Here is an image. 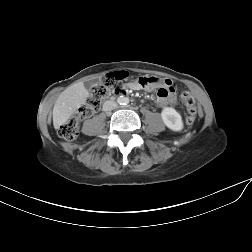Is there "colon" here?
Segmentation results:
<instances>
[{"label":"colon","mask_w":252,"mask_h":252,"mask_svg":"<svg viewBox=\"0 0 252 252\" xmlns=\"http://www.w3.org/2000/svg\"><path fill=\"white\" fill-rule=\"evenodd\" d=\"M128 76L129 74L126 71H115L104 75L100 81L91 88L85 104H83L76 113L60 126V137L67 141H73L76 139L80 122L96 112L103 99L111 93L118 91L116 84L126 81ZM138 81L144 88H150L151 86V81L148 77H140L138 78ZM181 99L188 112L186 121L188 124H192L195 121L197 111L194 97L189 92H183L181 94Z\"/></svg>","instance_id":"1"}]
</instances>
